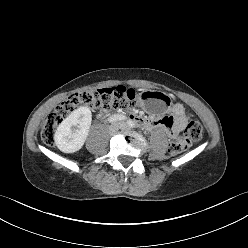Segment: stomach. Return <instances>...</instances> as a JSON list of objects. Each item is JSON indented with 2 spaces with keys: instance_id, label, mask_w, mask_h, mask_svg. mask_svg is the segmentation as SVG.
Listing matches in <instances>:
<instances>
[{
  "instance_id": "1",
  "label": "stomach",
  "mask_w": 248,
  "mask_h": 248,
  "mask_svg": "<svg viewBox=\"0 0 248 248\" xmlns=\"http://www.w3.org/2000/svg\"><path fill=\"white\" fill-rule=\"evenodd\" d=\"M135 102L138 107L147 109L152 114H164L169 110L171 99L164 92L153 89L142 90L137 93Z\"/></svg>"
}]
</instances>
